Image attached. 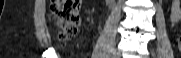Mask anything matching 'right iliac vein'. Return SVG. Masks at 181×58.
Segmentation results:
<instances>
[{
  "label": "right iliac vein",
  "mask_w": 181,
  "mask_h": 58,
  "mask_svg": "<svg viewBox=\"0 0 181 58\" xmlns=\"http://www.w3.org/2000/svg\"><path fill=\"white\" fill-rule=\"evenodd\" d=\"M113 58H118V55H117V54H115Z\"/></svg>",
  "instance_id": "63e3f726"
}]
</instances>
